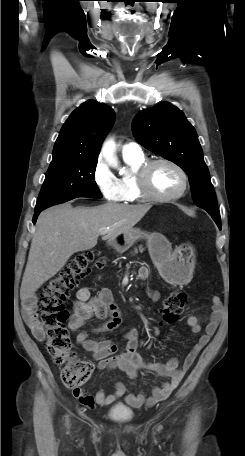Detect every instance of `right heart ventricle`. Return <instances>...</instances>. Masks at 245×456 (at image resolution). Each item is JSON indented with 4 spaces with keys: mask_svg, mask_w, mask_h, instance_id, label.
<instances>
[{
    "mask_svg": "<svg viewBox=\"0 0 245 456\" xmlns=\"http://www.w3.org/2000/svg\"><path fill=\"white\" fill-rule=\"evenodd\" d=\"M124 161L130 167V174L121 177L119 180L122 197L121 200L124 203L137 202L144 199L142 196L137 182H136V172L139 167L145 163L147 160L143 154L140 155H126L123 154Z\"/></svg>",
    "mask_w": 245,
    "mask_h": 456,
    "instance_id": "1",
    "label": "right heart ventricle"
}]
</instances>
